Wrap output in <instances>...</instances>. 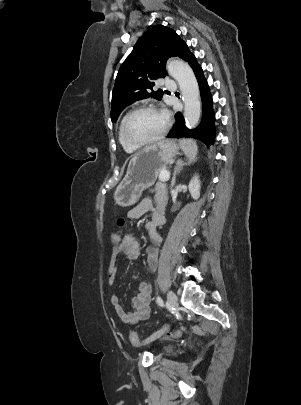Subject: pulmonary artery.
<instances>
[{
	"mask_svg": "<svg viewBox=\"0 0 301 405\" xmlns=\"http://www.w3.org/2000/svg\"><path fill=\"white\" fill-rule=\"evenodd\" d=\"M164 85L168 90H174L176 88V84L172 79H166Z\"/></svg>",
	"mask_w": 301,
	"mask_h": 405,
	"instance_id": "1",
	"label": "pulmonary artery"
}]
</instances>
